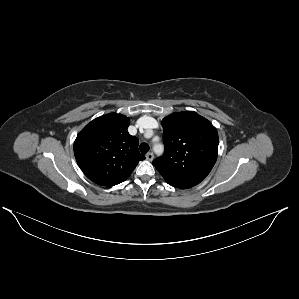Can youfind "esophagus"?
I'll list each match as a JSON object with an SVG mask.
<instances>
[{
    "instance_id": "34e87169",
    "label": "esophagus",
    "mask_w": 299,
    "mask_h": 299,
    "mask_svg": "<svg viewBox=\"0 0 299 299\" xmlns=\"http://www.w3.org/2000/svg\"><path fill=\"white\" fill-rule=\"evenodd\" d=\"M154 158V154L152 152H149L146 154V159L149 161H152Z\"/></svg>"
}]
</instances>
